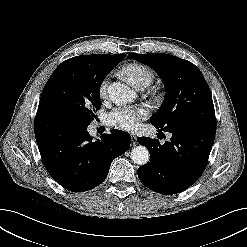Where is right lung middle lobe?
<instances>
[{"mask_svg":"<svg viewBox=\"0 0 247 247\" xmlns=\"http://www.w3.org/2000/svg\"><path fill=\"white\" fill-rule=\"evenodd\" d=\"M109 68L84 56L62 62L47 81L38 110L88 126L100 109V86Z\"/></svg>","mask_w":247,"mask_h":247,"instance_id":"dd1d6c3e","label":"right lung middle lobe"}]
</instances>
